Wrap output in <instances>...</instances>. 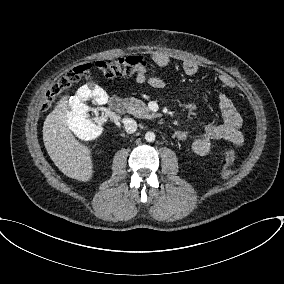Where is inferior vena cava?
<instances>
[{
  "instance_id": "1",
  "label": "inferior vena cava",
  "mask_w": 284,
  "mask_h": 284,
  "mask_svg": "<svg viewBox=\"0 0 284 284\" xmlns=\"http://www.w3.org/2000/svg\"><path fill=\"white\" fill-rule=\"evenodd\" d=\"M123 124L128 133H134L137 130V123L131 118H124Z\"/></svg>"
}]
</instances>
